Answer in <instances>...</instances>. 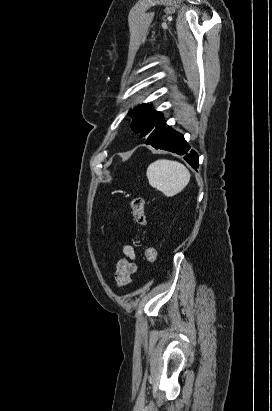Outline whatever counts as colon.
Segmentation results:
<instances>
[{
	"mask_svg": "<svg viewBox=\"0 0 272 411\" xmlns=\"http://www.w3.org/2000/svg\"><path fill=\"white\" fill-rule=\"evenodd\" d=\"M130 208L132 210L133 217L135 221L140 225H145L146 214H145V204L142 197H134L130 201ZM145 258L150 263L157 262V253L153 248H147L144 252Z\"/></svg>",
	"mask_w": 272,
	"mask_h": 411,
	"instance_id": "1",
	"label": "colon"
}]
</instances>
